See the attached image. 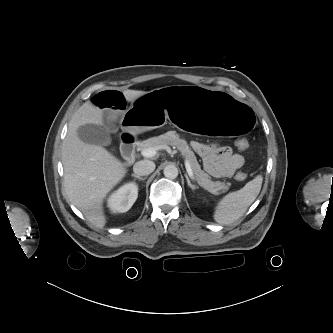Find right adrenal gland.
Instances as JSON below:
<instances>
[{
	"label": "right adrenal gland",
	"mask_w": 333,
	"mask_h": 333,
	"mask_svg": "<svg viewBox=\"0 0 333 333\" xmlns=\"http://www.w3.org/2000/svg\"><path fill=\"white\" fill-rule=\"evenodd\" d=\"M132 176L135 177V178H137V179H139V180H141V181L146 180V177L143 178V177H141V176H139V175H136V174H132Z\"/></svg>",
	"instance_id": "2a0ac1e0"
}]
</instances>
